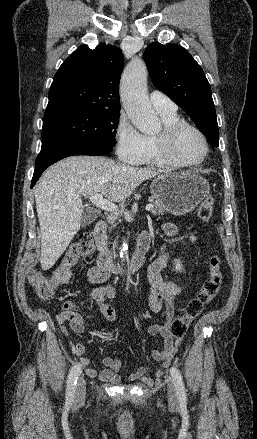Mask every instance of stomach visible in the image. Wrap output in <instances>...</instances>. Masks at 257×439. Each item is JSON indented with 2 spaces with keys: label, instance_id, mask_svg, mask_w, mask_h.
I'll list each match as a JSON object with an SVG mask.
<instances>
[{
  "label": "stomach",
  "instance_id": "obj_1",
  "mask_svg": "<svg viewBox=\"0 0 257 439\" xmlns=\"http://www.w3.org/2000/svg\"><path fill=\"white\" fill-rule=\"evenodd\" d=\"M209 192V182L195 173L163 174L151 183V193L174 215L193 211Z\"/></svg>",
  "mask_w": 257,
  "mask_h": 439
}]
</instances>
